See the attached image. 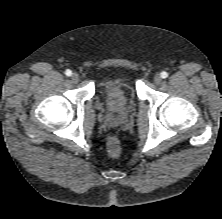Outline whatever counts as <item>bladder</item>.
Masks as SVG:
<instances>
[{"mask_svg":"<svg viewBox=\"0 0 222 219\" xmlns=\"http://www.w3.org/2000/svg\"><path fill=\"white\" fill-rule=\"evenodd\" d=\"M100 92L105 105L112 111H122L130 102L131 93L125 82L106 79L100 83Z\"/></svg>","mask_w":222,"mask_h":219,"instance_id":"bladder-1","label":"bladder"}]
</instances>
